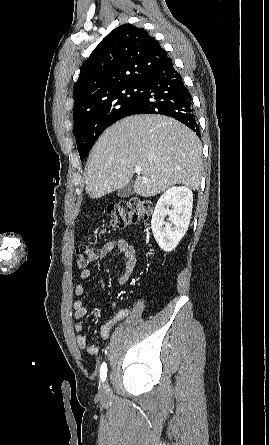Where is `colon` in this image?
<instances>
[{"label":"colon","instance_id":"colon-1","mask_svg":"<svg viewBox=\"0 0 269 445\" xmlns=\"http://www.w3.org/2000/svg\"><path fill=\"white\" fill-rule=\"evenodd\" d=\"M152 205L150 202L138 198H132L127 201L111 204L107 207L106 216L110 222V228L113 230L124 228L131 223H147ZM76 266L84 270L94 262L99 251L90 244H80L76 251Z\"/></svg>","mask_w":269,"mask_h":445}]
</instances>
